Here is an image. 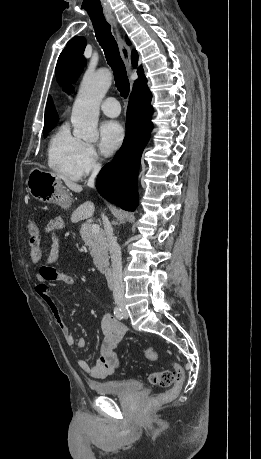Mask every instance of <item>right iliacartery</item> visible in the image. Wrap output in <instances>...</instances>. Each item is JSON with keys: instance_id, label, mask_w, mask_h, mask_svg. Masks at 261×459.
I'll use <instances>...</instances> for the list:
<instances>
[{"instance_id": "82829eb1", "label": "right iliac artery", "mask_w": 261, "mask_h": 459, "mask_svg": "<svg viewBox=\"0 0 261 459\" xmlns=\"http://www.w3.org/2000/svg\"><path fill=\"white\" fill-rule=\"evenodd\" d=\"M114 315H115L116 318H118L119 320L123 319V313H122L121 308L115 307V308H114Z\"/></svg>"}]
</instances>
